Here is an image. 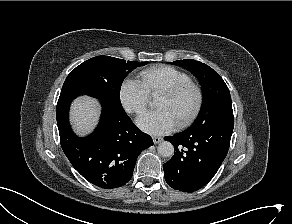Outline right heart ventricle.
<instances>
[{"label": "right heart ventricle", "instance_id": "e07e8e85", "mask_svg": "<svg viewBox=\"0 0 292 224\" xmlns=\"http://www.w3.org/2000/svg\"><path fill=\"white\" fill-rule=\"evenodd\" d=\"M139 78L149 96H156L164 89L191 81L186 72L169 65L147 68L140 72Z\"/></svg>", "mask_w": 292, "mask_h": 224}]
</instances>
